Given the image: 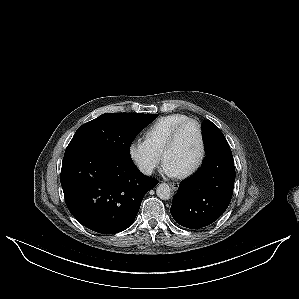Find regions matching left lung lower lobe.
<instances>
[{
	"label": "left lung lower lobe",
	"instance_id": "left-lung-lower-lobe-1",
	"mask_svg": "<svg viewBox=\"0 0 299 299\" xmlns=\"http://www.w3.org/2000/svg\"><path fill=\"white\" fill-rule=\"evenodd\" d=\"M235 168L232 154L217 149L200 171L180 183L170 212L180 225L197 229L216 221L228 207Z\"/></svg>",
	"mask_w": 299,
	"mask_h": 299
}]
</instances>
